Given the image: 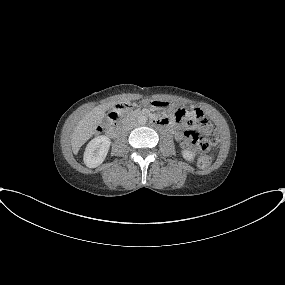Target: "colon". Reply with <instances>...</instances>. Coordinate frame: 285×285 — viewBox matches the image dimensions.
<instances>
[{"label": "colon", "mask_w": 285, "mask_h": 285, "mask_svg": "<svg viewBox=\"0 0 285 285\" xmlns=\"http://www.w3.org/2000/svg\"><path fill=\"white\" fill-rule=\"evenodd\" d=\"M123 107H125L124 103L119 104L117 109H121ZM114 115L116 114L113 112L112 116L114 117ZM174 118L178 121L193 120L203 126L209 125L208 119L201 113L197 115L196 111L193 109H177L174 113ZM185 137L190 144L195 145L201 152L198 158L199 167L202 169L208 168L212 162V156L208 153V150L210 145L216 143L217 141L216 131L211 130L207 136H201L196 128H191L186 131Z\"/></svg>", "instance_id": "obj_1"}]
</instances>
